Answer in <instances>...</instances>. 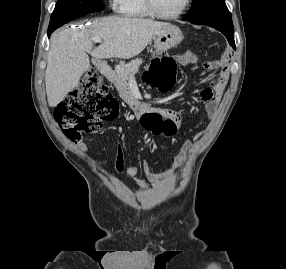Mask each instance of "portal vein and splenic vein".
<instances>
[{
	"label": "portal vein and splenic vein",
	"mask_w": 286,
	"mask_h": 269,
	"mask_svg": "<svg viewBox=\"0 0 286 269\" xmlns=\"http://www.w3.org/2000/svg\"><path fill=\"white\" fill-rule=\"evenodd\" d=\"M93 41H94L95 43H100L102 40H101L100 38H94Z\"/></svg>",
	"instance_id": "1"
}]
</instances>
